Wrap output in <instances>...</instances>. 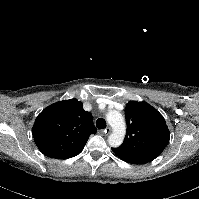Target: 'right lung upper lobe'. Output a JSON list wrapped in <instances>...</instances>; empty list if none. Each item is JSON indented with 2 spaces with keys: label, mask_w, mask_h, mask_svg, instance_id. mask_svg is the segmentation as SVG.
Listing matches in <instances>:
<instances>
[{
  "label": "right lung upper lobe",
  "mask_w": 199,
  "mask_h": 199,
  "mask_svg": "<svg viewBox=\"0 0 199 199\" xmlns=\"http://www.w3.org/2000/svg\"><path fill=\"white\" fill-rule=\"evenodd\" d=\"M82 102L63 100L45 108L32 128L34 141L46 156L68 159L79 154L89 136L96 133L91 113Z\"/></svg>",
  "instance_id": "1"
}]
</instances>
